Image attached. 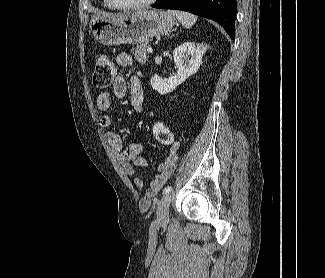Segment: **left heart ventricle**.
<instances>
[{
	"label": "left heart ventricle",
	"mask_w": 325,
	"mask_h": 278,
	"mask_svg": "<svg viewBox=\"0 0 325 278\" xmlns=\"http://www.w3.org/2000/svg\"><path fill=\"white\" fill-rule=\"evenodd\" d=\"M121 4H136V3H141L145 0H117Z\"/></svg>",
	"instance_id": "b2bd125f"
}]
</instances>
